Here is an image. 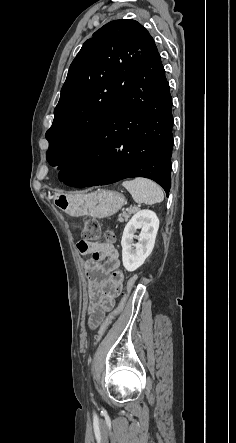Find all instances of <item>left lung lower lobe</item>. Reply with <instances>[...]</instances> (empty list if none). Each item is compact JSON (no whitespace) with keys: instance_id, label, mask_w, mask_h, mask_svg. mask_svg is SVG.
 <instances>
[{"instance_id":"left-lung-lower-lobe-1","label":"left lung lower lobe","mask_w":236,"mask_h":443,"mask_svg":"<svg viewBox=\"0 0 236 443\" xmlns=\"http://www.w3.org/2000/svg\"><path fill=\"white\" fill-rule=\"evenodd\" d=\"M172 98L157 48L78 153L59 173L74 187L146 177L171 186Z\"/></svg>"}]
</instances>
